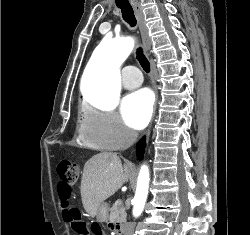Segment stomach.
<instances>
[{"label": "stomach", "instance_id": "stomach-1", "mask_svg": "<svg viewBox=\"0 0 250 235\" xmlns=\"http://www.w3.org/2000/svg\"><path fill=\"white\" fill-rule=\"evenodd\" d=\"M96 219L99 222H106L108 219V206L106 203L102 202L97 210Z\"/></svg>", "mask_w": 250, "mask_h": 235}]
</instances>
